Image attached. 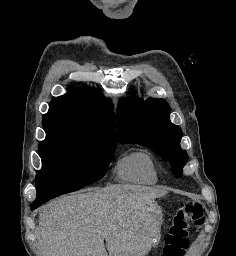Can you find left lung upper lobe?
I'll use <instances>...</instances> for the list:
<instances>
[{
	"instance_id": "1",
	"label": "left lung upper lobe",
	"mask_w": 236,
	"mask_h": 256,
	"mask_svg": "<svg viewBox=\"0 0 236 256\" xmlns=\"http://www.w3.org/2000/svg\"><path fill=\"white\" fill-rule=\"evenodd\" d=\"M169 116L170 106L162 99H122L117 110L118 140L152 149L169 161L174 175L180 177L188 155L180 147L182 131Z\"/></svg>"
}]
</instances>
